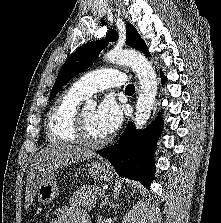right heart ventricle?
<instances>
[{
    "instance_id": "obj_1",
    "label": "right heart ventricle",
    "mask_w": 221,
    "mask_h": 223,
    "mask_svg": "<svg viewBox=\"0 0 221 223\" xmlns=\"http://www.w3.org/2000/svg\"><path fill=\"white\" fill-rule=\"evenodd\" d=\"M83 98L71 88L57 98L48 114L46 124V134L49 141L76 142L73 127L77 119V106Z\"/></svg>"
}]
</instances>
